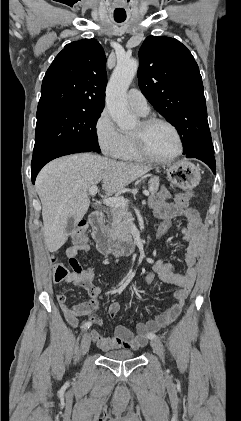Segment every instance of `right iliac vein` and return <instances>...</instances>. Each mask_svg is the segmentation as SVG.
I'll return each instance as SVG.
<instances>
[{
	"mask_svg": "<svg viewBox=\"0 0 241 421\" xmlns=\"http://www.w3.org/2000/svg\"><path fill=\"white\" fill-rule=\"evenodd\" d=\"M91 344V337L88 332H85L82 336L81 344H80V351L82 355H85L90 348Z\"/></svg>",
	"mask_w": 241,
	"mask_h": 421,
	"instance_id": "1",
	"label": "right iliac vein"
}]
</instances>
